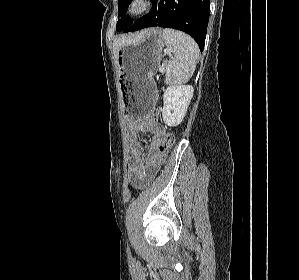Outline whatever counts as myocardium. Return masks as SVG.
Segmentation results:
<instances>
[{"mask_svg": "<svg viewBox=\"0 0 299 280\" xmlns=\"http://www.w3.org/2000/svg\"><path fill=\"white\" fill-rule=\"evenodd\" d=\"M152 7V0H131L127 7V14L132 18H139L147 14Z\"/></svg>", "mask_w": 299, "mask_h": 280, "instance_id": "myocardium-1", "label": "myocardium"}]
</instances>
